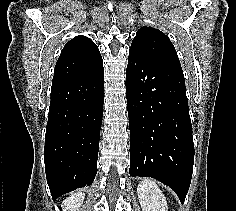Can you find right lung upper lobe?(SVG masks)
<instances>
[{
  "instance_id": "right-lung-upper-lobe-1",
  "label": "right lung upper lobe",
  "mask_w": 236,
  "mask_h": 211,
  "mask_svg": "<svg viewBox=\"0 0 236 211\" xmlns=\"http://www.w3.org/2000/svg\"><path fill=\"white\" fill-rule=\"evenodd\" d=\"M103 69L98 47L86 36H77L63 48L56 63L52 85L79 80Z\"/></svg>"
}]
</instances>
